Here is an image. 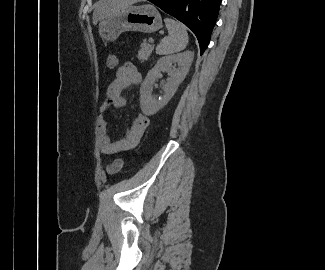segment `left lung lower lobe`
<instances>
[{"label":"left lung lower lobe","instance_id":"1","mask_svg":"<svg viewBox=\"0 0 325 270\" xmlns=\"http://www.w3.org/2000/svg\"><path fill=\"white\" fill-rule=\"evenodd\" d=\"M184 23L196 35L200 54L205 51L216 23L221 0H148Z\"/></svg>","mask_w":325,"mask_h":270}]
</instances>
